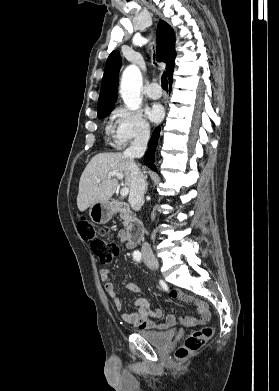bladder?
Segmentation results:
<instances>
[{
  "label": "bladder",
  "mask_w": 279,
  "mask_h": 391,
  "mask_svg": "<svg viewBox=\"0 0 279 391\" xmlns=\"http://www.w3.org/2000/svg\"><path fill=\"white\" fill-rule=\"evenodd\" d=\"M137 334L145 339L151 345L157 348H164L169 346L176 338V330L167 331H145L139 330Z\"/></svg>",
  "instance_id": "bladder-1"
}]
</instances>
